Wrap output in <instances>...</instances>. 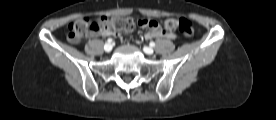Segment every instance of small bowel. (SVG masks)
Listing matches in <instances>:
<instances>
[{
    "label": "small bowel",
    "instance_id": "c3829d8e",
    "mask_svg": "<svg viewBox=\"0 0 276 120\" xmlns=\"http://www.w3.org/2000/svg\"><path fill=\"white\" fill-rule=\"evenodd\" d=\"M145 22H148L144 20ZM143 27H146L145 24L142 25ZM147 28V31L145 32V38L146 39H153V38H167V39H175L176 35L174 33H167L165 32L160 25L156 21H152V27ZM104 36H110L114 35V33H101Z\"/></svg>",
    "mask_w": 276,
    "mask_h": 120
}]
</instances>
